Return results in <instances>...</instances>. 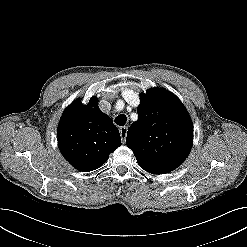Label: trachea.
<instances>
[{"label":"trachea","mask_w":247,"mask_h":247,"mask_svg":"<svg viewBox=\"0 0 247 247\" xmlns=\"http://www.w3.org/2000/svg\"><path fill=\"white\" fill-rule=\"evenodd\" d=\"M126 121H127V117L124 114L118 115L115 118V123L119 126H124L126 124Z\"/></svg>","instance_id":"3493384b"}]
</instances>
